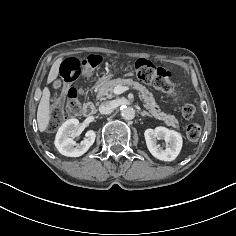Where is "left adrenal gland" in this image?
<instances>
[{
	"label": "left adrenal gland",
	"mask_w": 236,
	"mask_h": 236,
	"mask_svg": "<svg viewBox=\"0 0 236 236\" xmlns=\"http://www.w3.org/2000/svg\"><path fill=\"white\" fill-rule=\"evenodd\" d=\"M139 114H140L142 117H144V116L152 117V115H150L148 112L142 111V110L139 111Z\"/></svg>",
	"instance_id": "1"
}]
</instances>
